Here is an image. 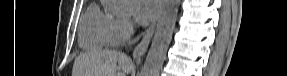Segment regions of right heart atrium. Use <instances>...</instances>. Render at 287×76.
<instances>
[{
	"instance_id": "obj_1",
	"label": "right heart atrium",
	"mask_w": 287,
	"mask_h": 76,
	"mask_svg": "<svg viewBox=\"0 0 287 76\" xmlns=\"http://www.w3.org/2000/svg\"><path fill=\"white\" fill-rule=\"evenodd\" d=\"M134 26L128 18H117L114 21L113 33L117 42L127 40L133 33Z\"/></svg>"
}]
</instances>
